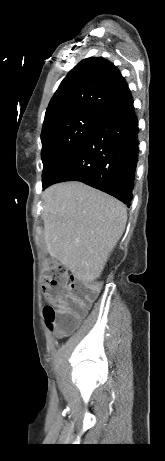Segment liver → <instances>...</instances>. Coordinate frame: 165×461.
I'll list each match as a JSON object with an SVG mask.
<instances>
[{"label":"liver","instance_id":"6515ba94","mask_svg":"<svg viewBox=\"0 0 165 461\" xmlns=\"http://www.w3.org/2000/svg\"><path fill=\"white\" fill-rule=\"evenodd\" d=\"M43 200L47 252L84 281L100 277L124 232L125 206L81 182L50 186Z\"/></svg>","mask_w":165,"mask_h":461}]
</instances>
